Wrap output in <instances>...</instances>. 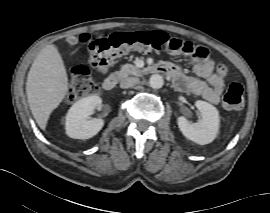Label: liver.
Masks as SVG:
<instances>
[{"mask_svg": "<svg viewBox=\"0 0 270 213\" xmlns=\"http://www.w3.org/2000/svg\"><path fill=\"white\" fill-rule=\"evenodd\" d=\"M68 86L67 72L57 47L46 45L35 58L26 82L27 101L42 130L52 111L64 99Z\"/></svg>", "mask_w": 270, "mask_h": 213, "instance_id": "obj_1", "label": "liver"}]
</instances>
